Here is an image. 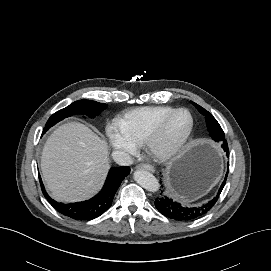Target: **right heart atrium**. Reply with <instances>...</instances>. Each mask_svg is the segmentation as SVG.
Listing matches in <instances>:
<instances>
[{
	"mask_svg": "<svg viewBox=\"0 0 271 271\" xmlns=\"http://www.w3.org/2000/svg\"><path fill=\"white\" fill-rule=\"evenodd\" d=\"M109 144L115 150L121 151L125 154H134L137 145L131 142L116 126H111L106 131Z\"/></svg>",
	"mask_w": 271,
	"mask_h": 271,
	"instance_id": "1",
	"label": "right heart atrium"
}]
</instances>
